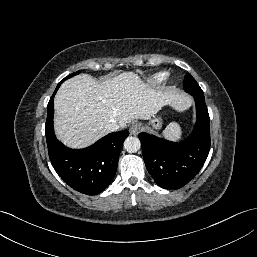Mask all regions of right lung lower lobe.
Masks as SVG:
<instances>
[{
	"label": "right lung lower lobe",
	"mask_w": 257,
	"mask_h": 257,
	"mask_svg": "<svg viewBox=\"0 0 257 257\" xmlns=\"http://www.w3.org/2000/svg\"><path fill=\"white\" fill-rule=\"evenodd\" d=\"M61 85V84H60ZM47 106L46 140L49 158L57 174L70 187L87 195L105 190L113 180L127 130L110 133L84 149H70L57 140L53 129V99Z\"/></svg>",
	"instance_id": "right-lung-lower-lobe-1"
}]
</instances>
